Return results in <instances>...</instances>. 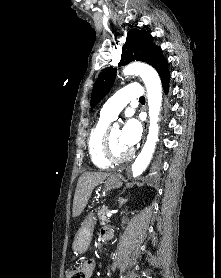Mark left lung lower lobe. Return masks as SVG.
I'll return each mask as SVG.
<instances>
[{
    "mask_svg": "<svg viewBox=\"0 0 221 278\" xmlns=\"http://www.w3.org/2000/svg\"><path fill=\"white\" fill-rule=\"evenodd\" d=\"M161 81H162V86L165 92L168 91V87H169V73H168V69H167V64L158 71Z\"/></svg>",
    "mask_w": 221,
    "mask_h": 278,
    "instance_id": "1",
    "label": "left lung lower lobe"
}]
</instances>
